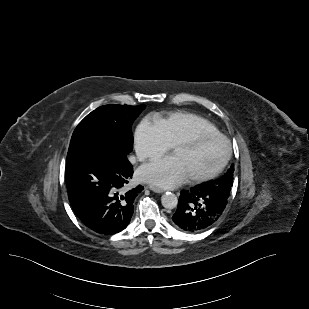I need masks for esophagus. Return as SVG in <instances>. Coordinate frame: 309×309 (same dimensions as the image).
<instances>
[{
  "label": "esophagus",
  "instance_id": "34e87169",
  "mask_svg": "<svg viewBox=\"0 0 309 309\" xmlns=\"http://www.w3.org/2000/svg\"><path fill=\"white\" fill-rule=\"evenodd\" d=\"M149 189L155 193H163L165 192V190L163 188H160V187H157V186H154V185H150L149 186Z\"/></svg>",
  "mask_w": 309,
  "mask_h": 309
}]
</instances>
